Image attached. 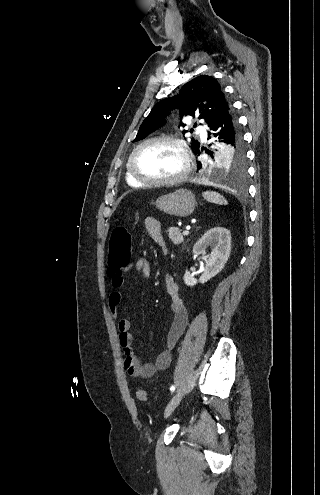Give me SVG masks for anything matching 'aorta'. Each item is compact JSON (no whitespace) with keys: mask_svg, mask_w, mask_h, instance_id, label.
I'll use <instances>...</instances> for the list:
<instances>
[{"mask_svg":"<svg viewBox=\"0 0 320 495\" xmlns=\"http://www.w3.org/2000/svg\"><path fill=\"white\" fill-rule=\"evenodd\" d=\"M211 178H212L213 180H220V179H219V177L214 176V175H212V176H211Z\"/></svg>","mask_w":320,"mask_h":495,"instance_id":"1","label":"aorta"}]
</instances>
